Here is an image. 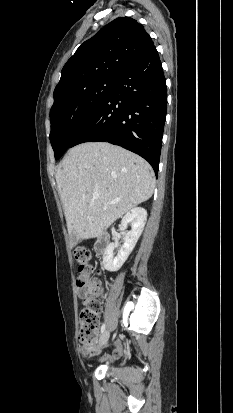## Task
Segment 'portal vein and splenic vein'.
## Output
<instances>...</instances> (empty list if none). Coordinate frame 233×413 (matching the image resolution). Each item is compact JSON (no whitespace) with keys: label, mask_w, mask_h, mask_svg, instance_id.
I'll use <instances>...</instances> for the list:
<instances>
[{"label":"portal vein and splenic vein","mask_w":233,"mask_h":413,"mask_svg":"<svg viewBox=\"0 0 233 413\" xmlns=\"http://www.w3.org/2000/svg\"><path fill=\"white\" fill-rule=\"evenodd\" d=\"M93 198H94V199L99 198V194H98V193H93ZM117 201H118V200L113 201V202H111V203H116Z\"/></svg>","instance_id":"obj_1"}]
</instances>
